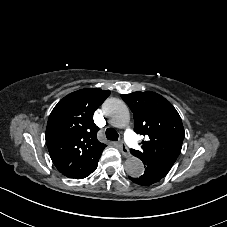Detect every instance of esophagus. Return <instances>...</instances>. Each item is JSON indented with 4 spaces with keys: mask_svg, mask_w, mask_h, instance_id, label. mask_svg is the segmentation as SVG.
I'll list each match as a JSON object with an SVG mask.
<instances>
[{
    "mask_svg": "<svg viewBox=\"0 0 227 227\" xmlns=\"http://www.w3.org/2000/svg\"><path fill=\"white\" fill-rule=\"evenodd\" d=\"M120 151L124 157H130L131 153L123 141L119 142Z\"/></svg>",
    "mask_w": 227,
    "mask_h": 227,
    "instance_id": "34e87169",
    "label": "esophagus"
}]
</instances>
